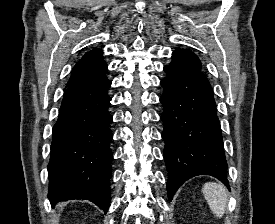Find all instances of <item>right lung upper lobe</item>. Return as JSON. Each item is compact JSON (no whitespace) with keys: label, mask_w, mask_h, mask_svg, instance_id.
<instances>
[{"label":"right lung upper lobe","mask_w":275,"mask_h":224,"mask_svg":"<svg viewBox=\"0 0 275 224\" xmlns=\"http://www.w3.org/2000/svg\"><path fill=\"white\" fill-rule=\"evenodd\" d=\"M108 71L101 50H92L79 60L72 70L66 87H72L84 82L99 79Z\"/></svg>","instance_id":"cb5924a9"}]
</instances>
